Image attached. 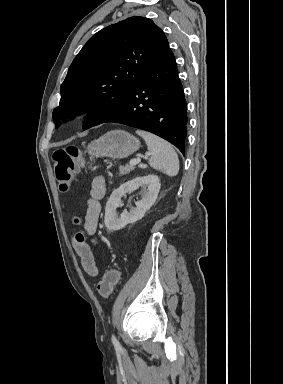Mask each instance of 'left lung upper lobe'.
Returning <instances> with one entry per match:
<instances>
[{"mask_svg": "<svg viewBox=\"0 0 283 384\" xmlns=\"http://www.w3.org/2000/svg\"><path fill=\"white\" fill-rule=\"evenodd\" d=\"M168 48L164 32L145 17H130L100 30L68 69L54 123L89 111L83 129L98 125L124 104Z\"/></svg>", "mask_w": 283, "mask_h": 384, "instance_id": "1", "label": "left lung upper lobe"}]
</instances>
